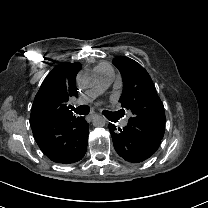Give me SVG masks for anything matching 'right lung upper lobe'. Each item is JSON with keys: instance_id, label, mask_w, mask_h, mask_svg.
Returning <instances> with one entry per match:
<instances>
[{"instance_id": "cb5924a9", "label": "right lung upper lobe", "mask_w": 208, "mask_h": 208, "mask_svg": "<svg viewBox=\"0 0 208 208\" xmlns=\"http://www.w3.org/2000/svg\"><path fill=\"white\" fill-rule=\"evenodd\" d=\"M80 69L79 62H66L57 65L47 75L35 96L30 121L75 117L67 102L78 96L75 79Z\"/></svg>"}]
</instances>
